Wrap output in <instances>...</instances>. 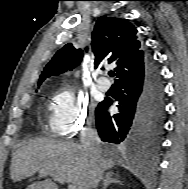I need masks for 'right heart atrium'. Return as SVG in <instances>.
I'll list each match as a JSON object with an SVG mask.
<instances>
[{"instance_id":"obj_1","label":"right heart atrium","mask_w":188,"mask_h":189,"mask_svg":"<svg viewBox=\"0 0 188 189\" xmlns=\"http://www.w3.org/2000/svg\"><path fill=\"white\" fill-rule=\"evenodd\" d=\"M50 128L55 135L79 134L90 126L87 102L68 88L58 90L52 99Z\"/></svg>"}]
</instances>
